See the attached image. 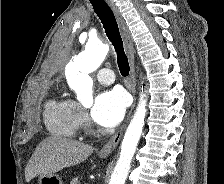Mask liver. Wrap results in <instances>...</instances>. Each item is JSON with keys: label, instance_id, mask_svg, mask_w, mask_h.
<instances>
[{"label": "liver", "instance_id": "liver-1", "mask_svg": "<svg viewBox=\"0 0 224 184\" xmlns=\"http://www.w3.org/2000/svg\"><path fill=\"white\" fill-rule=\"evenodd\" d=\"M92 152L90 145L63 137H48L32 154L25 168V179L30 182L37 175H54L85 161Z\"/></svg>", "mask_w": 224, "mask_h": 184}]
</instances>
